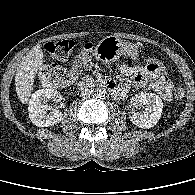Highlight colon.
I'll list each match as a JSON object with an SVG mask.
<instances>
[{"instance_id": "colon-1", "label": "colon", "mask_w": 195, "mask_h": 195, "mask_svg": "<svg viewBox=\"0 0 195 195\" xmlns=\"http://www.w3.org/2000/svg\"><path fill=\"white\" fill-rule=\"evenodd\" d=\"M74 48L72 40H59L45 44V51L54 59L65 61L69 58ZM93 56V47L91 44H85L80 51L75 65L72 68H65L59 64L51 63L45 65L40 71L42 83L49 87L62 88L69 86L74 80L78 71L89 67ZM145 70L158 78H167V72L163 63L154 57L146 59ZM185 92L179 88L174 92V98L182 101Z\"/></svg>"}]
</instances>
